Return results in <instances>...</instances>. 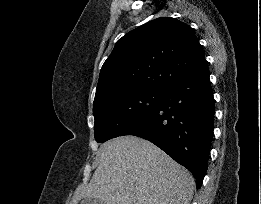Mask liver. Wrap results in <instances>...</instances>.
<instances>
[{
	"label": "liver",
	"mask_w": 261,
	"mask_h": 204,
	"mask_svg": "<svg viewBox=\"0 0 261 204\" xmlns=\"http://www.w3.org/2000/svg\"><path fill=\"white\" fill-rule=\"evenodd\" d=\"M90 183L76 189L73 202L85 198L104 204H190L195 181L189 171L153 143L122 136L99 149Z\"/></svg>",
	"instance_id": "1"
}]
</instances>
